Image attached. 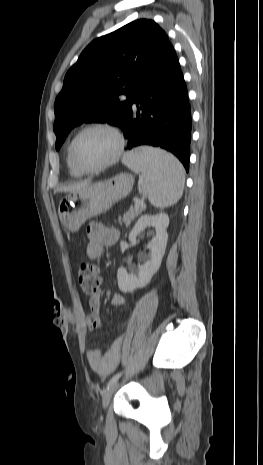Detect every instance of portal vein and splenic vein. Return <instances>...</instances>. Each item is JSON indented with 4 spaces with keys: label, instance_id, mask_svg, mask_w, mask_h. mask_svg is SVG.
Masks as SVG:
<instances>
[{
    "label": "portal vein and splenic vein",
    "instance_id": "18ae733b",
    "mask_svg": "<svg viewBox=\"0 0 263 465\" xmlns=\"http://www.w3.org/2000/svg\"><path fill=\"white\" fill-rule=\"evenodd\" d=\"M143 203H144V202L141 201L140 199H136V200H135V206H136V207L141 206Z\"/></svg>",
    "mask_w": 263,
    "mask_h": 465
}]
</instances>
